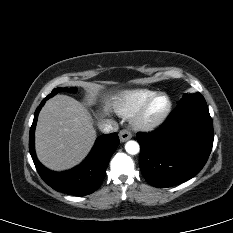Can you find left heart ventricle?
Here are the masks:
<instances>
[{
    "instance_id": "obj_1",
    "label": "left heart ventricle",
    "mask_w": 233,
    "mask_h": 233,
    "mask_svg": "<svg viewBox=\"0 0 233 233\" xmlns=\"http://www.w3.org/2000/svg\"><path fill=\"white\" fill-rule=\"evenodd\" d=\"M167 106V100L164 97L157 98L150 106L147 112V119L154 120L158 118Z\"/></svg>"
}]
</instances>
